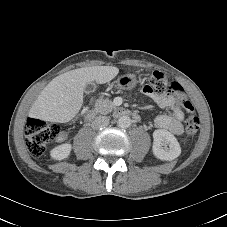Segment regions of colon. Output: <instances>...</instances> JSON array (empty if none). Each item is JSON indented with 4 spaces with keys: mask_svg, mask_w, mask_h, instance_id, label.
Returning a JSON list of instances; mask_svg holds the SVG:
<instances>
[{
    "mask_svg": "<svg viewBox=\"0 0 227 227\" xmlns=\"http://www.w3.org/2000/svg\"><path fill=\"white\" fill-rule=\"evenodd\" d=\"M147 83L159 89V96L164 89H169L177 95L179 105L190 114L185 121V134L188 138H193L199 130L200 122L199 118L194 115V107L182 87L177 83L169 82L160 71L150 73ZM24 131L28 151L35 158L40 157L44 153L46 145L61 134V128L58 124L34 118L28 119Z\"/></svg>",
    "mask_w": 227,
    "mask_h": 227,
    "instance_id": "colon-1",
    "label": "colon"
}]
</instances>
